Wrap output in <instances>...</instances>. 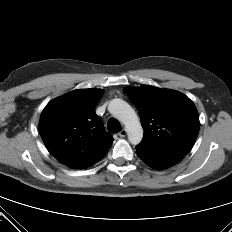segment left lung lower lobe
Segmentation results:
<instances>
[{
    "instance_id": "obj_1",
    "label": "left lung lower lobe",
    "mask_w": 232,
    "mask_h": 232,
    "mask_svg": "<svg viewBox=\"0 0 232 232\" xmlns=\"http://www.w3.org/2000/svg\"><path fill=\"white\" fill-rule=\"evenodd\" d=\"M137 154L145 164L158 170L174 166L185 156V154L151 155L138 151Z\"/></svg>"
}]
</instances>
